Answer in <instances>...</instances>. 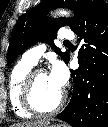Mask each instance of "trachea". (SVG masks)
Here are the masks:
<instances>
[{
    "instance_id": "3493384b",
    "label": "trachea",
    "mask_w": 108,
    "mask_h": 127,
    "mask_svg": "<svg viewBox=\"0 0 108 127\" xmlns=\"http://www.w3.org/2000/svg\"><path fill=\"white\" fill-rule=\"evenodd\" d=\"M64 43H65V44H69L70 42H69V41H65Z\"/></svg>"
}]
</instances>
